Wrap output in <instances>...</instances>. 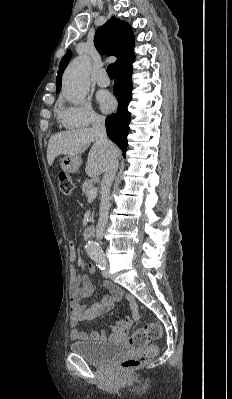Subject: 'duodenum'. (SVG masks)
I'll return each mask as SVG.
<instances>
[{
    "instance_id": "obj_1",
    "label": "duodenum",
    "mask_w": 232,
    "mask_h": 399,
    "mask_svg": "<svg viewBox=\"0 0 232 399\" xmlns=\"http://www.w3.org/2000/svg\"><path fill=\"white\" fill-rule=\"evenodd\" d=\"M95 234V229L92 226H86L84 228V236L86 239H92Z\"/></svg>"
}]
</instances>
